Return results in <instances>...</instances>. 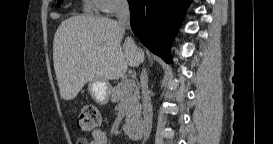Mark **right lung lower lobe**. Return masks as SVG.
Wrapping results in <instances>:
<instances>
[{
  "label": "right lung lower lobe",
  "instance_id": "right-lung-lower-lobe-1",
  "mask_svg": "<svg viewBox=\"0 0 273 144\" xmlns=\"http://www.w3.org/2000/svg\"><path fill=\"white\" fill-rule=\"evenodd\" d=\"M131 28L153 53L171 62L167 49L190 0H128Z\"/></svg>",
  "mask_w": 273,
  "mask_h": 144
}]
</instances>
